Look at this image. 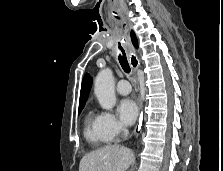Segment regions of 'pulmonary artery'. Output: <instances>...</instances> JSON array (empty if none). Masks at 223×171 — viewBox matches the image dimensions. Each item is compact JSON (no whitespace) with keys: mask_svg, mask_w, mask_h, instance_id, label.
Masks as SVG:
<instances>
[{"mask_svg":"<svg viewBox=\"0 0 223 171\" xmlns=\"http://www.w3.org/2000/svg\"><path fill=\"white\" fill-rule=\"evenodd\" d=\"M116 90L121 95H128L131 92V85L125 79H121L118 81Z\"/></svg>","mask_w":223,"mask_h":171,"instance_id":"1","label":"pulmonary artery"}]
</instances>
